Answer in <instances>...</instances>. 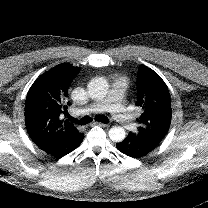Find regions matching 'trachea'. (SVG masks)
<instances>
[{
    "mask_svg": "<svg viewBox=\"0 0 208 208\" xmlns=\"http://www.w3.org/2000/svg\"><path fill=\"white\" fill-rule=\"evenodd\" d=\"M94 119H95V121L102 122V123L108 122V119L103 115H96L94 117ZM92 120H93V118H91L90 116H85L80 121H78L77 119L71 118V121L78 124V125H85L87 123L92 122Z\"/></svg>",
    "mask_w": 208,
    "mask_h": 208,
    "instance_id": "3493384b",
    "label": "trachea"
}]
</instances>
